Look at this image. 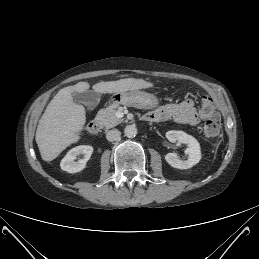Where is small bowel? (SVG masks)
<instances>
[{
    "mask_svg": "<svg viewBox=\"0 0 259 259\" xmlns=\"http://www.w3.org/2000/svg\"><path fill=\"white\" fill-rule=\"evenodd\" d=\"M203 102V100H202ZM149 122H162L173 120L176 123L196 126L201 119L208 118V114L203 110L198 111L193 100L185 99L178 103H169L158 107L144 115ZM218 117V114L216 115Z\"/></svg>",
    "mask_w": 259,
    "mask_h": 259,
    "instance_id": "obj_1",
    "label": "small bowel"
}]
</instances>
